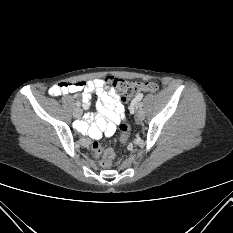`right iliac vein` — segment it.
<instances>
[{"label": "right iliac vein", "mask_w": 233, "mask_h": 233, "mask_svg": "<svg viewBox=\"0 0 233 233\" xmlns=\"http://www.w3.org/2000/svg\"><path fill=\"white\" fill-rule=\"evenodd\" d=\"M75 118H79L82 115V110L80 108H76L73 112Z\"/></svg>", "instance_id": "right-iliac-vein-1"}]
</instances>
